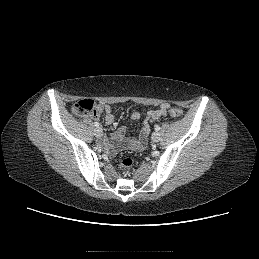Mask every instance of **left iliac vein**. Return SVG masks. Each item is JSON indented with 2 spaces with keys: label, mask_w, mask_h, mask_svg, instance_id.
I'll list each match as a JSON object with an SVG mask.
<instances>
[{
  "label": "left iliac vein",
  "mask_w": 259,
  "mask_h": 259,
  "mask_svg": "<svg viewBox=\"0 0 259 259\" xmlns=\"http://www.w3.org/2000/svg\"><path fill=\"white\" fill-rule=\"evenodd\" d=\"M151 139L153 142L157 143L160 140V134L156 131L152 134Z\"/></svg>",
  "instance_id": "4c4485c4"
}]
</instances>
